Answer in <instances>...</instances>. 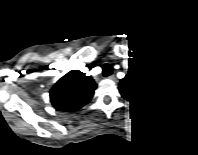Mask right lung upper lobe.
<instances>
[{"instance_id": "right-lung-upper-lobe-1", "label": "right lung upper lobe", "mask_w": 198, "mask_h": 155, "mask_svg": "<svg viewBox=\"0 0 198 155\" xmlns=\"http://www.w3.org/2000/svg\"><path fill=\"white\" fill-rule=\"evenodd\" d=\"M96 84L91 77L72 70L53 86L50 100L54 108L63 111L78 110L87 104L94 95Z\"/></svg>"}]
</instances>
